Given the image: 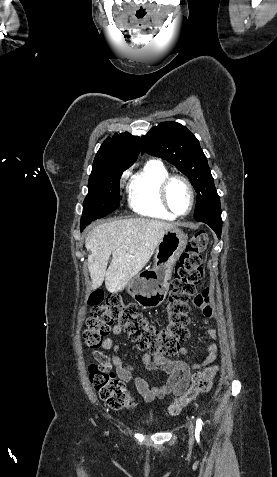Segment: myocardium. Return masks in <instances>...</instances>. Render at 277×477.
I'll use <instances>...</instances> for the list:
<instances>
[{
	"mask_svg": "<svg viewBox=\"0 0 277 477\" xmlns=\"http://www.w3.org/2000/svg\"><path fill=\"white\" fill-rule=\"evenodd\" d=\"M174 180H180L183 183H185V185L188 188L189 194H190L189 208L183 214H179V213L175 212L174 209L171 207V204L169 202L168 190H169V187H170L171 183ZM159 195H160V200H161L162 205L164 206V208L171 215L175 216L176 218H182V217L188 216L192 212V210L194 208V205H195L196 196H195V190H194L193 184L191 183V181L186 176L181 175V174L168 175L160 184Z\"/></svg>",
	"mask_w": 277,
	"mask_h": 477,
	"instance_id": "myocardium-1",
	"label": "myocardium"
}]
</instances>
